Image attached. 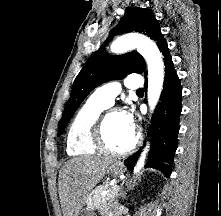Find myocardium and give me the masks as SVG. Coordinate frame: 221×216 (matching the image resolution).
Masks as SVG:
<instances>
[{
	"mask_svg": "<svg viewBox=\"0 0 221 216\" xmlns=\"http://www.w3.org/2000/svg\"><path fill=\"white\" fill-rule=\"evenodd\" d=\"M119 112H121V110L116 109V108H111V109L106 110L104 113H102L99 120L96 123V126L94 128V133H93V140L97 148L101 150L102 152H105L112 156H123V155L129 154L132 151H134L137 148V146L140 144V134L134 133L132 142L123 149H114L108 145L106 141V137H105L106 123H107L108 117L111 114L119 113Z\"/></svg>",
	"mask_w": 221,
	"mask_h": 216,
	"instance_id": "obj_1",
	"label": "myocardium"
}]
</instances>
